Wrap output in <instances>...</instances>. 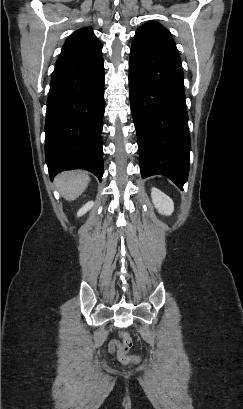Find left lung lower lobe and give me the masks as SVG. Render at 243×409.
I'll list each match as a JSON object with an SVG mask.
<instances>
[{
	"label": "left lung lower lobe",
	"instance_id": "left-lung-lower-lobe-1",
	"mask_svg": "<svg viewBox=\"0 0 243 409\" xmlns=\"http://www.w3.org/2000/svg\"><path fill=\"white\" fill-rule=\"evenodd\" d=\"M129 94L142 177L165 175L182 190L191 146L183 70L175 44L131 48Z\"/></svg>",
	"mask_w": 243,
	"mask_h": 409
}]
</instances>
